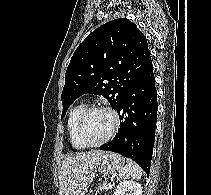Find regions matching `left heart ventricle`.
<instances>
[{
  "label": "left heart ventricle",
  "mask_w": 211,
  "mask_h": 195,
  "mask_svg": "<svg viewBox=\"0 0 211 195\" xmlns=\"http://www.w3.org/2000/svg\"><path fill=\"white\" fill-rule=\"evenodd\" d=\"M113 127V118L106 111L90 113L83 125V135L88 142L95 143L104 139Z\"/></svg>",
  "instance_id": "left-heart-ventricle-1"
}]
</instances>
